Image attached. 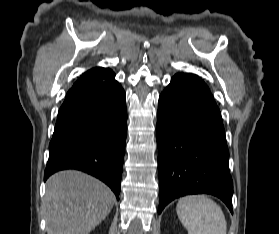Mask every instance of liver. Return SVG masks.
Instances as JSON below:
<instances>
[{"label":"liver","mask_w":279,"mask_h":234,"mask_svg":"<svg viewBox=\"0 0 279 234\" xmlns=\"http://www.w3.org/2000/svg\"><path fill=\"white\" fill-rule=\"evenodd\" d=\"M115 196L99 180L79 171L54 174L46 183L48 234H88L110 213Z\"/></svg>","instance_id":"obj_1"}]
</instances>
